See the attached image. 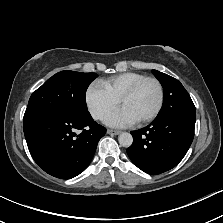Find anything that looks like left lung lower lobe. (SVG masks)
<instances>
[{
	"label": "left lung lower lobe",
	"instance_id": "0a47b994",
	"mask_svg": "<svg viewBox=\"0 0 223 223\" xmlns=\"http://www.w3.org/2000/svg\"><path fill=\"white\" fill-rule=\"evenodd\" d=\"M196 118L168 117L131 131L133 143L127 149L132 162L142 171L156 175L175 167L185 156L194 137Z\"/></svg>",
	"mask_w": 223,
	"mask_h": 223
}]
</instances>
